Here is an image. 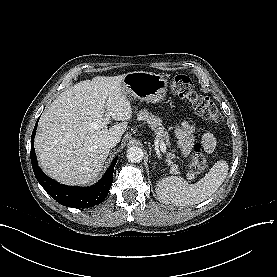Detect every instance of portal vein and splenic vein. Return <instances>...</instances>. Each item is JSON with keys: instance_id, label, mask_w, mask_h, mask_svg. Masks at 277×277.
Here are the masks:
<instances>
[{"instance_id": "portal-vein-and-splenic-vein-1", "label": "portal vein and splenic vein", "mask_w": 277, "mask_h": 277, "mask_svg": "<svg viewBox=\"0 0 277 277\" xmlns=\"http://www.w3.org/2000/svg\"><path fill=\"white\" fill-rule=\"evenodd\" d=\"M110 113H107L106 114V117L108 118V117H110ZM158 140H159V138H158ZM159 146H160V150L163 152V153H165L166 152V144L163 142V141H160L159 140Z\"/></svg>"}]
</instances>
